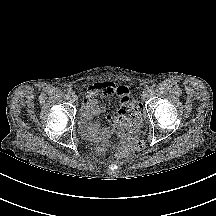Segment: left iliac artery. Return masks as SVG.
<instances>
[{
	"label": "left iliac artery",
	"instance_id": "44dca946",
	"mask_svg": "<svg viewBox=\"0 0 216 216\" xmlns=\"http://www.w3.org/2000/svg\"><path fill=\"white\" fill-rule=\"evenodd\" d=\"M153 90H154V86H149V87H148V91H149V92H152Z\"/></svg>",
	"mask_w": 216,
	"mask_h": 216
}]
</instances>
